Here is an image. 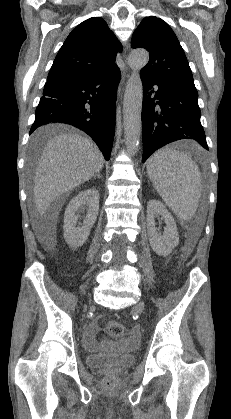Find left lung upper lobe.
<instances>
[{
    "label": "left lung upper lobe",
    "mask_w": 231,
    "mask_h": 419,
    "mask_svg": "<svg viewBox=\"0 0 231 419\" xmlns=\"http://www.w3.org/2000/svg\"><path fill=\"white\" fill-rule=\"evenodd\" d=\"M132 48H145L150 59L141 73L158 80L195 87L192 72L175 33L162 19L145 17L135 30Z\"/></svg>",
    "instance_id": "1"
}]
</instances>
